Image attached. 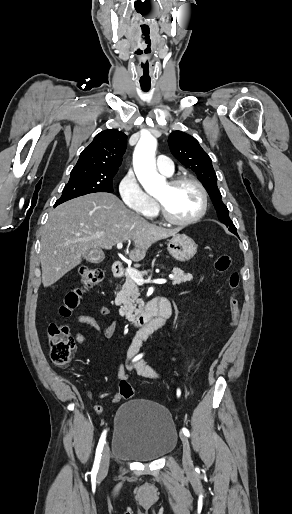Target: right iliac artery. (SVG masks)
<instances>
[{"label": "right iliac artery", "mask_w": 292, "mask_h": 514, "mask_svg": "<svg viewBox=\"0 0 292 514\" xmlns=\"http://www.w3.org/2000/svg\"><path fill=\"white\" fill-rule=\"evenodd\" d=\"M142 356H143V354H139L138 356H136L133 359V361L139 360ZM106 433H107V430H104L100 437V440H99V443H98V446L96 449L95 461H94V465H93L92 472H91L93 477H95L96 474L98 473L99 463H100V459H101V453H102V450H103V447L105 444V440H106Z\"/></svg>", "instance_id": "right-iliac-artery-1"}]
</instances>
